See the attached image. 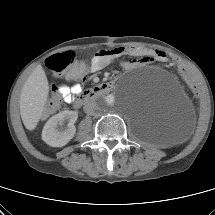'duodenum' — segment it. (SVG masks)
Returning <instances> with one entry per match:
<instances>
[{
    "mask_svg": "<svg viewBox=\"0 0 215 215\" xmlns=\"http://www.w3.org/2000/svg\"><path fill=\"white\" fill-rule=\"evenodd\" d=\"M115 87V83L113 81L103 82L95 87L86 90L83 94H81L74 102L75 108H80L84 105H87L94 101L97 97L107 94L111 92Z\"/></svg>",
    "mask_w": 215,
    "mask_h": 215,
    "instance_id": "1",
    "label": "duodenum"
}]
</instances>
